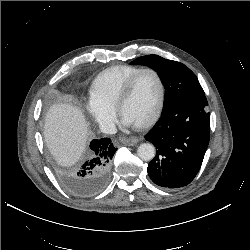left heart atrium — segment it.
Here are the masks:
<instances>
[{
	"instance_id": "1",
	"label": "left heart atrium",
	"mask_w": 250,
	"mask_h": 250,
	"mask_svg": "<svg viewBox=\"0 0 250 250\" xmlns=\"http://www.w3.org/2000/svg\"><path fill=\"white\" fill-rule=\"evenodd\" d=\"M122 125L124 127H130L133 126L130 122H128L126 119L122 118Z\"/></svg>"
}]
</instances>
